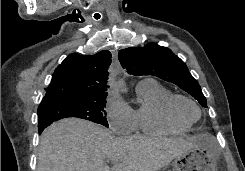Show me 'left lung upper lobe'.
I'll use <instances>...</instances> for the list:
<instances>
[{"label": "left lung upper lobe", "mask_w": 245, "mask_h": 171, "mask_svg": "<svg viewBox=\"0 0 245 171\" xmlns=\"http://www.w3.org/2000/svg\"><path fill=\"white\" fill-rule=\"evenodd\" d=\"M119 61L129 74L153 75L176 84L207 107L206 98L199 83L189 73L186 64L170 49L150 43L144 47L120 50Z\"/></svg>", "instance_id": "5c2ea615"}]
</instances>
